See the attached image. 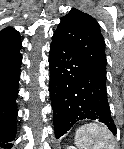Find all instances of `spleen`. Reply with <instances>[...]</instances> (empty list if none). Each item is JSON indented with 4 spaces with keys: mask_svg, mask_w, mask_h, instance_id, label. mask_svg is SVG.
Listing matches in <instances>:
<instances>
[{
    "mask_svg": "<svg viewBox=\"0 0 124 149\" xmlns=\"http://www.w3.org/2000/svg\"><path fill=\"white\" fill-rule=\"evenodd\" d=\"M110 139V134L105 128L87 124L77 130L75 144L78 149H114L109 145Z\"/></svg>",
    "mask_w": 124,
    "mask_h": 149,
    "instance_id": "1",
    "label": "spleen"
}]
</instances>
